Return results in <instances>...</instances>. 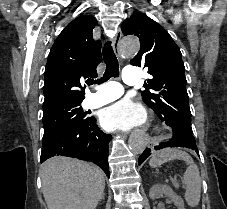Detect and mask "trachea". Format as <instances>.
Here are the masks:
<instances>
[{
  "label": "trachea",
  "instance_id": "3493384b",
  "mask_svg": "<svg viewBox=\"0 0 227 209\" xmlns=\"http://www.w3.org/2000/svg\"><path fill=\"white\" fill-rule=\"evenodd\" d=\"M103 59L106 64V69L103 77L99 80H89L88 85H93L95 83L100 84L106 82L111 77L119 76L118 60L111 47V42H107L103 47Z\"/></svg>",
  "mask_w": 227,
  "mask_h": 209
}]
</instances>
